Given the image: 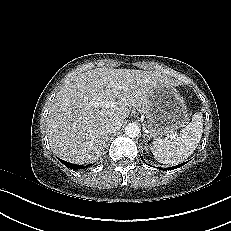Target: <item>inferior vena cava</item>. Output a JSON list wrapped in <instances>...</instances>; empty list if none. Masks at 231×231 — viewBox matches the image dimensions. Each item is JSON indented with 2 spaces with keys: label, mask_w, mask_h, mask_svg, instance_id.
<instances>
[{
  "label": "inferior vena cava",
  "mask_w": 231,
  "mask_h": 231,
  "mask_svg": "<svg viewBox=\"0 0 231 231\" xmlns=\"http://www.w3.org/2000/svg\"><path fill=\"white\" fill-rule=\"evenodd\" d=\"M121 128L120 122L113 121L106 125V130L109 134L117 132Z\"/></svg>",
  "instance_id": "1"
}]
</instances>
